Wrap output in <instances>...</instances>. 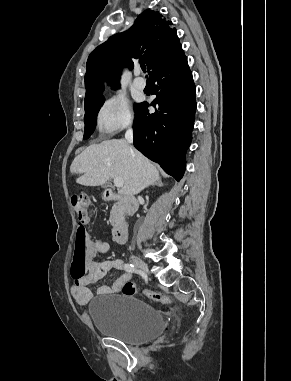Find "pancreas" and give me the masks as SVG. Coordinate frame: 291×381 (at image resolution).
<instances>
[{
	"instance_id": "1",
	"label": "pancreas",
	"mask_w": 291,
	"mask_h": 381,
	"mask_svg": "<svg viewBox=\"0 0 291 381\" xmlns=\"http://www.w3.org/2000/svg\"><path fill=\"white\" fill-rule=\"evenodd\" d=\"M117 220H118V213L116 212L115 208H113L110 213L109 221L111 225L114 226Z\"/></svg>"
}]
</instances>
